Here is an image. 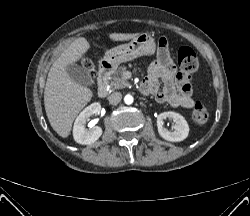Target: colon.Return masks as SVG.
Instances as JSON below:
<instances>
[{"mask_svg": "<svg viewBox=\"0 0 250 216\" xmlns=\"http://www.w3.org/2000/svg\"><path fill=\"white\" fill-rule=\"evenodd\" d=\"M177 61L181 69V73L190 75L195 73L199 68V61L193 49L187 46L180 47L177 52ZM86 67L90 69V64L87 62ZM209 113L205 105L201 102H196L192 111V119L196 124L202 125L208 121Z\"/></svg>", "mask_w": 250, "mask_h": 216, "instance_id": "obj_1", "label": "colon"}]
</instances>
